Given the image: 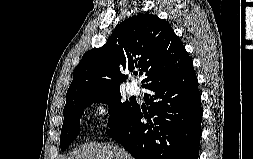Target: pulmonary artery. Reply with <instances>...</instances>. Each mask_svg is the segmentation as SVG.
Here are the masks:
<instances>
[{"mask_svg": "<svg viewBox=\"0 0 253 159\" xmlns=\"http://www.w3.org/2000/svg\"><path fill=\"white\" fill-rule=\"evenodd\" d=\"M138 91V86L135 83H131L130 85H128V93L133 95L136 94Z\"/></svg>", "mask_w": 253, "mask_h": 159, "instance_id": "1", "label": "pulmonary artery"}]
</instances>
